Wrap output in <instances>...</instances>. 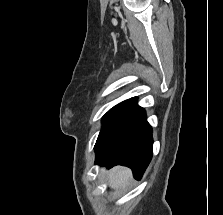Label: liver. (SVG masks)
Here are the masks:
<instances>
[{
    "instance_id": "6515ba94",
    "label": "liver",
    "mask_w": 223,
    "mask_h": 215,
    "mask_svg": "<svg viewBox=\"0 0 223 215\" xmlns=\"http://www.w3.org/2000/svg\"><path fill=\"white\" fill-rule=\"evenodd\" d=\"M131 175V169L122 167V165H116V167H113V169H109L108 171L110 187H113V189H123V187H126Z\"/></svg>"
}]
</instances>
